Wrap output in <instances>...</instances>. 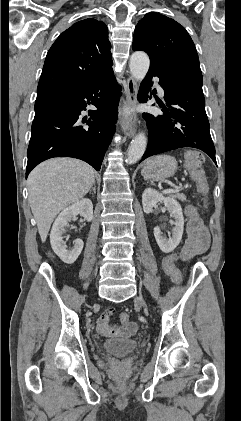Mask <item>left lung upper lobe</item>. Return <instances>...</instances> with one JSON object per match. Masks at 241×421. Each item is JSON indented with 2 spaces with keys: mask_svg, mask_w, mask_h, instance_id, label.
Listing matches in <instances>:
<instances>
[{
  "mask_svg": "<svg viewBox=\"0 0 241 421\" xmlns=\"http://www.w3.org/2000/svg\"><path fill=\"white\" fill-rule=\"evenodd\" d=\"M132 48L145 51L150 64L202 80L191 37L182 25L165 15L157 12L146 14L135 27Z\"/></svg>",
  "mask_w": 241,
  "mask_h": 421,
  "instance_id": "1",
  "label": "left lung upper lobe"
}]
</instances>
